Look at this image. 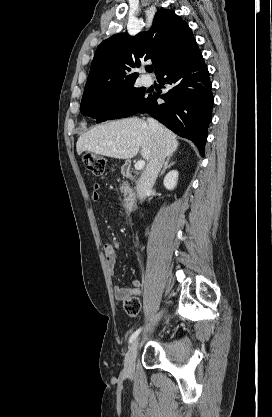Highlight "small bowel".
Returning <instances> with one entry per match:
<instances>
[{
	"label": "small bowel",
	"instance_id": "small-bowel-1",
	"mask_svg": "<svg viewBox=\"0 0 272 417\" xmlns=\"http://www.w3.org/2000/svg\"><path fill=\"white\" fill-rule=\"evenodd\" d=\"M100 185L94 184L92 191V200L99 201L100 199ZM104 252L107 259V264L111 275L114 274V268L117 262V254L112 244L106 243L104 245ZM142 293V283L138 279H132L128 287L114 286V297L118 302H123L127 298H139Z\"/></svg>",
	"mask_w": 272,
	"mask_h": 417
}]
</instances>
